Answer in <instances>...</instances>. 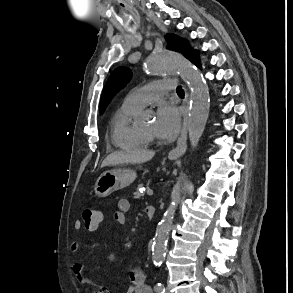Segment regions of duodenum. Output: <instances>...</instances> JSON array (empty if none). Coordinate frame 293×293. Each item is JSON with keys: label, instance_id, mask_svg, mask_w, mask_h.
Returning a JSON list of instances; mask_svg holds the SVG:
<instances>
[{"label": "duodenum", "instance_id": "obj_1", "mask_svg": "<svg viewBox=\"0 0 293 293\" xmlns=\"http://www.w3.org/2000/svg\"><path fill=\"white\" fill-rule=\"evenodd\" d=\"M145 212H146L147 218L149 220H152L154 215H155V207L147 206L146 209H145Z\"/></svg>", "mask_w": 293, "mask_h": 293}]
</instances>
